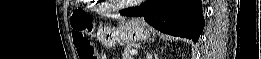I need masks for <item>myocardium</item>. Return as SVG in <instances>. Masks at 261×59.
I'll return each mask as SVG.
<instances>
[{
    "mask_svg": "<svg viewBox=\"0 0 261 59\" xmlns=\"http://www.w3.org/2000/svg\"><path fill=\"white\" fill-rule=\"evenodd\" d=\"M108 4V7L112 10H121L128 6H130L129 3H115L113 1H106Z\"/></svg>",
    "mask_w": 261,
    "mask_h": 59,
    "instance_id": "myocardium-1",
    "label": "myocardium"
}]
</instances>
